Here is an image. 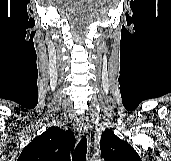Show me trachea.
<instances>
[{
	"instance_id": "1",
	"label": "trachea",
	"mask_w": 171,
	"mask_h": 161,
	"mask_svg": "<svg viewBox=\"0 0 171 161\" xmlns=\"http://www.w3.org/2000/svg\"><path fill=\"white\" fill-rule=\"evenodd\" d=\"M86 154H87V139L86 136L84 135L76 147L72 160L86 161Z\"/></svg>"
}]
</instances>
